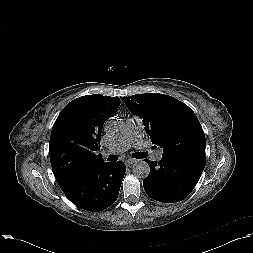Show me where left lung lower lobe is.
Wrapping results in <instances>:
<instances>
[{"label": "left lung lower lobe", "mask_w": 253, "mask_h": 253, "mask_svg": "<svg viewBox=\"0 0 253 253\" xmlns=\"http://www.w3.org/2000/svg\"><path fill=\"white\" fill-rule=\"evenodd\" d=\"M150 173L143 181L146 194L157 201L175 203L186 198L196 186L205 167V157L178 153L162 155L161 160H145Z\"/></svg>", "instance_id": "0a47b994"}]
</instances>
